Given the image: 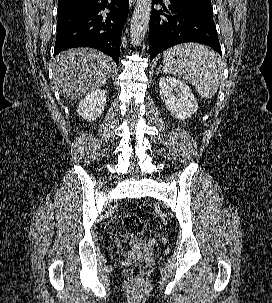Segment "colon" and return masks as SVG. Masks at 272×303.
Masks as SVG:
<instances>
[{"label":"colon","mask_w":272,"mask_h":303,"mask_svg":"<svg viewBox=\"0 0 272 303\" xmlns=\"http://www.w3.org/2000/svg\"><path fill=\"white\" fill-rule=\"evenodd\" d=\"M122 226L125 232L131 236H139L145 229V222L135 212H128L122 218ZM142 273V267L139 263H136L132 268V275L135 278H139Z\"/></svg>","instance_id":"5ec220e1"}]
</instances>
